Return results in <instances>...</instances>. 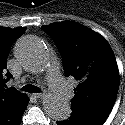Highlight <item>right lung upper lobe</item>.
Wrapping results in <instances>:
<instances>
[{
  "mask_svg": "<svg viewBox=\"0 0 125 125\" xmlns=\"http://www.w3.org/2000/svg\"><path fill=\"white\" fill-rule=\"evenodd\" d=\"M25 30L26 27L15 29L0 27V111L25 96L13 87H6L7 81L12 77L9 72L6 73L8 54L15 39L20 37Z\"/></svg>",
  "mask_w": 125,
  "mask_h": 125,
  "instance_id": "right-lung-upper-lobe-1",
  "label": "right lung upper lobe"
}]
</instances>
